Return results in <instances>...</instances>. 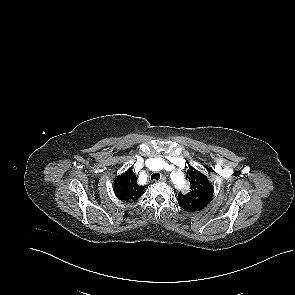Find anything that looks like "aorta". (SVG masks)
Instances as JSON below:
<instances>
[{"label":"aorta","mask_w":295,"mask_h":295,"mask_svg":"<svg viewBox=\"0 0 295 295\" xmlns=\"http://www.w3.org/2000/svg\"><path fill=\"white\" fill-rule=\"evenodd\" d=\"M177 186H181L184 183V177L179 175L178 178L174 181Z\"/></svg>","instance_id":"762f6f07"}]
</instances>
